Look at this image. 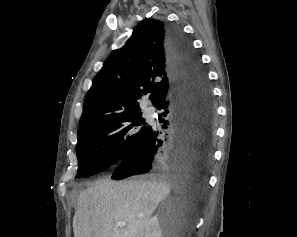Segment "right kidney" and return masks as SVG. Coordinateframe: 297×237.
I'll list each match as a JSON object with an SVG mask.
<instances>
[{"mask_svg": "<svg viewBox=\"0 0 297 237\" xmlns=\"http://www.w3.org/2000/svg\"><path fill=\"white\" fill-rule=\"evenodd\" d=\"M166 236H169V235L163 231L160 225L159 218L157 216L151 217L147 222L144 237H166Z\"/></svg>", "mask_w": 297, "mask_h": 237, "instance_id": "1", "label": "right kidney"}]
</instances>
